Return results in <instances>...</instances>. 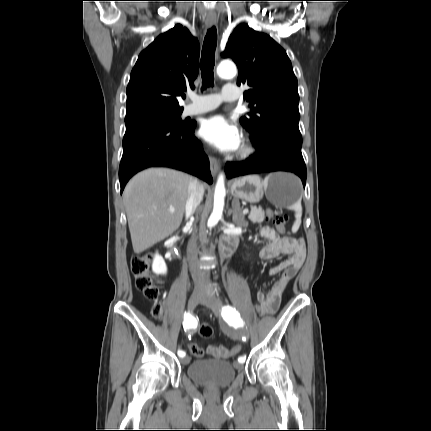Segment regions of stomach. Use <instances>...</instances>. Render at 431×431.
<instances>
[{
	"instance_id": "1",
	"label": "stomach",
	"mask_w": 431,
	"mask_h": 431,
	"mask_svg": "<svg viewBox=\"0 0 431 431\" xmlns=\"http://www.w3.org/2000/svg\"><path fill=\"white\" fill-rule=\"evenodd\" d=\"M231 194L249 203H258L264 196L276 207L291 208L301 198L299 179L290 173H273L267 182L257 175H248L231 182Z\"/></svg>"
}]
</instances>
